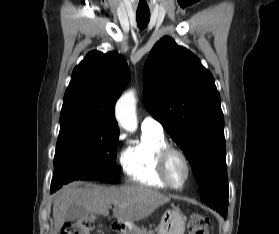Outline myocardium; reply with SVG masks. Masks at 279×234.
I'll return each instance as SVG.
<instances>
[{"label": "myocardium", "instance_id": "myocardium-1", "mask_svg": "<svg viewBox=\"0 0 279 234\" xmlns=\"http://www.w3.org/2000/svg\"><path fill=\"white\" fill-rule=\"evenodd\" d=\"M172 155H178L184 162L185 168H186L185 179L179 185L174 184L168 176V170H167L168 161ZM157 167H158L159 176H160L161 180L163 181V183L168 188L175 189V190L182 189L188 183V181L191 177V174H192L191 163H190V160H189L188 156L186 155V153L184 151H182L181 149L171 146V145H166L165 147H163L160 150V152L158 154Z\"/></svg>", "mask_w": 279, "mask_h": 234}]
</instances>
